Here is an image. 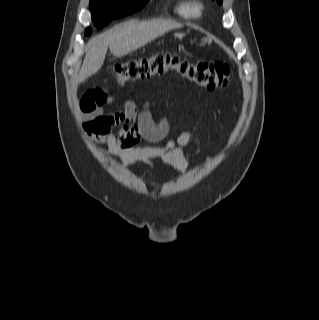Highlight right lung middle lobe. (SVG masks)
<instances>
[{
  "label": "right lung middle lobe",
  "instance_id": "right-lung-middle-lobe-1",
  "mask_svg": "<svg viewBox=\"0 0 319 320\" xmlns=\"http://www.w3.org/2000/svg\"><path fill=\"white\" fill-rule=\"evenodd\" d=\"M149 0H90L92 20L97 29L107 25L112 19L123 17L142 9ZM91 34L87 28L86 35Z\"/></svg>",
  "mask_w": 319,
  "mask_h": 320
}]
</instances>
